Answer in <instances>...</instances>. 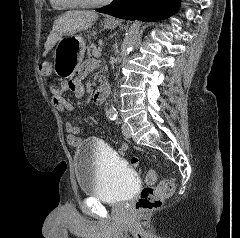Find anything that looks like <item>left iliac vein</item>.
<instances>
[{
    "label": "left iliac vein",
    "instance_id": "left-iliac-vein-1",
    "mask_svg": "<svg viewBox=\"0 0 240 238\" xmlns=\"http://www.w3.org/2000/svg\"><path fill=\"white\" fill-rule=\"evenodd\" d=\"M122 133H123L124 137H126V138L131 137V129H130L129 125H127L126 123H123V125H122Z\"/></svg>",
    "mask_w": 240,
    "mask_h": 238
}]
</instances>
